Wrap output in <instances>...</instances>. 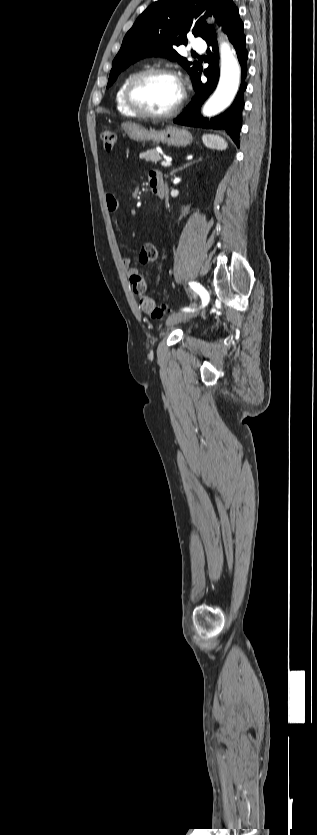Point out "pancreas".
<instances>
[{"label":"pancreas","mask_w":317,"mask_h":835,"mask_svg":"<svg viewBox=\"0 0 317 835\" xmlns=\"http://www.w3.org/2000/svg\"><path fill=\"white\" fill-rule=\"evenodd\" d=\"M139 158L143 159L147 162H152V163H156L157 161L161 160V156L159 155V152L155 149H151V150H148L146 152L141 153L139 155Z\"/></svg>","instance_id":"pancreas-1"}]
</instances>
